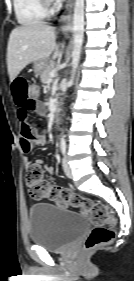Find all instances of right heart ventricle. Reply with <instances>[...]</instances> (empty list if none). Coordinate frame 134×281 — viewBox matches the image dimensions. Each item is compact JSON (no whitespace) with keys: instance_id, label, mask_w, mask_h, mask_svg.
I'll return each mask as SVG.
<instances>
[{"instance_id":"right-heart-ventricle-1","label":"right heart ventricle","mask_w":134,"mask_h":281,"mask_svg":"<svg viewBox=\"0 0 134 281\" xmlns=\"http://www.w3.org/2000/svg\"><path fill=\"white\" fill-rule=\"evenodd\" d=\"M17 21L25 26L43 21L47 16L41 0H13Z\"/></svg>"}]
</instances>
